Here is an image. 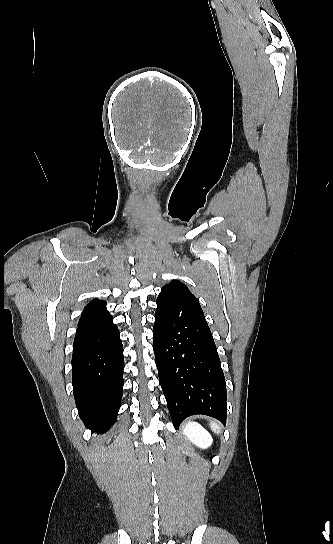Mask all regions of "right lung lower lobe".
<instances>
[{
	"label": "right lung lower lobe",
	"mask_w": 333,
	"mask_h": 544,
	"mask_svg": "<svg viewBox=\"0 0 333 544\" xmlns=\"http://www.w3.org/2000/svg\"><path fill=\"white\" fill-rule=\"evenodd\" d=\"M124 356L120 333L109 314L78 324L72 383L80 418L92 432L116 420L123 393Z\"/></svg>",
	"instance_id": "right-lung-lower-lobe-1"
}]
</instances>
